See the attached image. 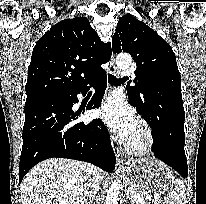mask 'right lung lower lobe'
Instances as JSON below:
<instances>
[{"label":"right lung lower lobe","mask_w":206,"mask_h":204,"mask_svg":"<svg viewBox=\"0 0 206 204\" xmlns=\"http://www.w3.org/2000/svg\"><path fill=\"white\" fill-rule=\"evenodd\" d=\"M91 83H96V93L87 109L100 106L107 78L105 71ZM89 87L71 93H42L27 97L24 112L23 146L19 165V183L37 163L53 157L90 162L112 172L115 155L108 131L100 119L88 124L76 123L79 113L72 111L78 102L77 94H86Z\"/></svg>","instance_id":"obj_1"}]
</instances>
